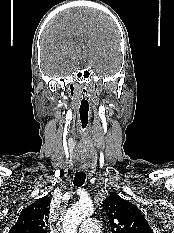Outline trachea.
I'll return each mask as SVG.
<instances>
[{
    "mask_svg": "<svg viewBox=\"0 0 174 233\" xmlns=\"http://www.w3.org/2000/svg\"><path fill=\"white\" fill-rule=\"evenodd\" d=\"M85 179H86V173L77 171L73 183L76 187H80L84 184Z\"/></svg>",
    "mask_w": 174,
    "mask_h": 233,
    "instance_id": "trachea-1",
    "label": "trachea"
}]
</instances>
